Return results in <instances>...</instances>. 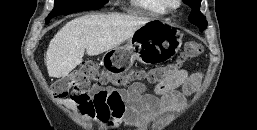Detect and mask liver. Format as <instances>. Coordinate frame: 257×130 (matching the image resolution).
<instances>
[{
  "label": "liver",
  "mask_w": 257,
  "mask_h": 130,
  "mask_svg": "<svg viewBox=\"0 0 257 130\" xmlns=\"http://www.w3.org/2000/svg\"><path fill=\"white\" fill-rule=\"evenodd\" d=\"M150 21L147 17L125 14H93L71 20L57 32L47 48L49 76H66L82 63L85 50L89 56H96L114 49Z\"/></svg>",
  "instance_id": "1"
}]
</instances>
